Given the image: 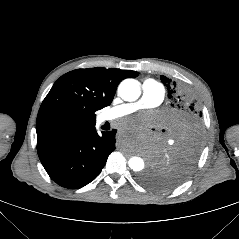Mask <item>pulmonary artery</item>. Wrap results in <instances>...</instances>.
Here are the masks:
<instances>
[{"instance_id": "1", "label": "pulmonary artery", "mask_w": 239, "mask_h": 239, "mask_svg": "<svg viewBox=\"0 0 239 239\" xmlns=\"http://www.w3.org/2000/svg\"><path fill=\"white\" fill-rule=\"evenodd\" d=\"M142 91V96L138 101L121 104L109 109L102 115L101 121H113L141 109L154 108L164 100V86L156 80H145L142 84Z\"/></svg>"}]
</instances>
